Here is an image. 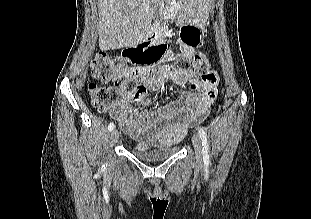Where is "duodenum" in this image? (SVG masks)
<instances>
[{"label": "duodenum", "mask_w": 311, "mask_h": 219, "mask_svg": "<svg viewBox=\"0 0 311 219\" xmlns=\"http://www.w3.org/2000/svg\"><path fill=\"white\" fill-rule=\"evenodd\" d=\"M160 48H164V44L160 39V34L157 30H152L141 44L129 49V52L134 55H141L144 52L149 54Z\"/></svg>", "instance_id": "obj_1"}]
</instances>
